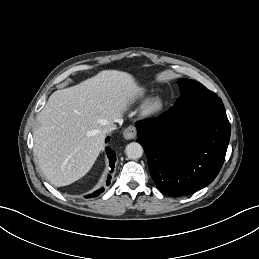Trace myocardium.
<instances>
[{
	"label": "myocardium",
	"mask_w": 259,
	"mask_h": 259,
	"mask_svg": "<svg viewBox=\"0 0 259 259\" xmlns=\"http://www.w3.org/2000/svg\"><path fill=\"white\" fill-rule=\"evenodd\" d=\"M164 106V100L161 96L155 95L151 97L144 105L142 109V115L151 116L162 110Z\"/></svg>",
	"instance_id": "myocardium-1"
}]
</instances>
